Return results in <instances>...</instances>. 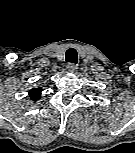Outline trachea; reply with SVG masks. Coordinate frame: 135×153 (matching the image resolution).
I'll list each match as a JSON object with an SVG mask.
<instances>
[{"instance_id":"trachea-1","label":"trachea","mask_w":135,"mask_h":153,"mask_svg":"<svg viewBox=\"0 0 135 153\" xmlns=\"http://www.w3.org/2000/svg\"><path fill=\"white\" fill-rule=\"evenodd\" d=\"M65 59L67 62L69 63H74L76 64L77 61H78V55H77V52L74 48H69L67 51H66V54H65Z\"/></svg>"}]
</instances>
